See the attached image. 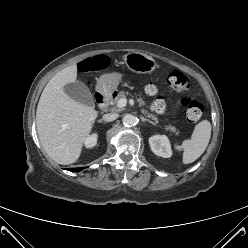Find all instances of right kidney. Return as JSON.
<instances>
[{"label":"right kidney","instance_id":"1","mask_svg":"<svg viewBox=\"0 0 248 248\" xmlns=\"http://www.w3.org/2000/svg\"><path fill=\"white\" fill-rule=\"evenodd\" d=\"M96 143H97V134L96 133L88 136L84 142L86 148H92L96 145Z\"/></svg>","mask_w":248,"mask_h":248}]
</instances>
